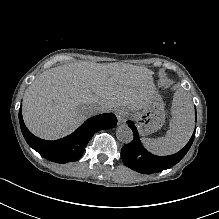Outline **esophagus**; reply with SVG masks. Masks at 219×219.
I'll return each instance as SVG.
<instances>
[{
  "label": "esophagus",
  "mask_w": 219,
  "mask_h": 219,
  "mask_svg": "<svg viewBox=\"0 0 219 219\" xmlns=\"http://www.w3.org/2000/svg\"><path fill=\"white\" fill-rule=\"evenodd\" d=\"M115 115L117 116L118 123L121 124V123L125 122L126 117H127V112L123 108H118L115 111Z\"/></svg>",
  "instance_id": "obj_1"
}]
</instances>
